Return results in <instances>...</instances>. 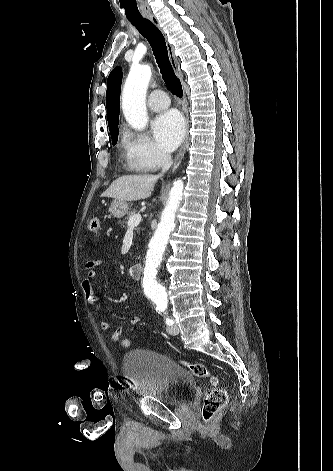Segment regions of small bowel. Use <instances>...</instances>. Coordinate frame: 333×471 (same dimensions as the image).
I'll return each mask as SVG.
<instances>
[{"mask_svg":"<svg viewBox=\"0 0 333 471\" xmlns=\"http://www.w3.org/2000/svg\"><path fill=\"white\" fill-rule=\"evenodd\" d=\"M101 265V260L98 258H92L87 261L86 263V271L82 278L81 284L82 289L85 294L86 299L88 302L93 305L97 306L99 302L98 292L94 287V278L96 275V269ZM141 321L139 316H133L130 320L132 325H137ZM100 328L103 331H110L112 329L111 324L106 319H101L100 321ZM123 327H117L112 330L111 332V340L113 342H119L120 338L123 334Z\"/></svg>","mask_w":333,"mask_h":471,"instance_id":"1","label":"small bowel"}]
</instances>
